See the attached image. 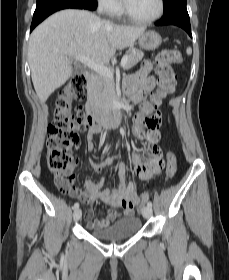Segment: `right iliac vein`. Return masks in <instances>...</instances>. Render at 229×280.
<instances>
[{"label": "right iliac vein", "instance_id": "right-iliac-vein-1", "mask_svg": "<svg viewBox=\"0 0 229 280\" xmlns=\"http://www.w3.org/2000/svg\"><path fill=\"white\" fill-rule=\"evenodd\" d=\"M82 216V211L81 209H75L74 214H73V218L75 221H78Z\"/></svg>", "mask_w": 229, "mask_h": 280}]
</instances>
